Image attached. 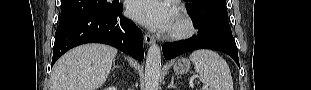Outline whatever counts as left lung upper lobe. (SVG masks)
<instances>
[{
	"instance_id": "obj_1",
	"label": "left lung upper lobe",
	"mask_w": 311,
	"mask_h": 90,
	"mask_svg": "<svg viewBox=\"0 0 311 90\" xmlns=\"http://www.w3.org/2000/svg\"><path fill=\"white\" fill-rule=\"evenodd\" d=\"M185 6L200 31L215 28L231 33L226 0H186Z\"/></svg>"
}]
</instances>
